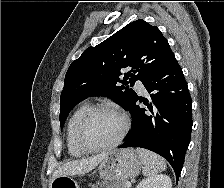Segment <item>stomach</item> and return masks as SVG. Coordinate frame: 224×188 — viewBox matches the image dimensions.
<instances>
[{
	"label": "stomach",
	"mask_w": 224,
	"mask_h": 188,
	"mask_svg": "<svg viewBox=\"0 0 224 188\" xmlns=\"http://www.w3.org/2000/svg\"><path fill=\"white\" fill-rule=\"evenodd\" d=\"M142 168V159L132 148L115 149L99 164L98 171L102 178L126 181L139 175ZM50 188H79L73 177L62 175L54 178Z\"/></svg>",
	"instance_id": "1"
}]
</instances>
